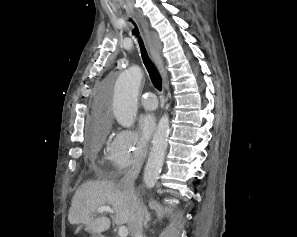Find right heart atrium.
Returning a JSON list of instances; mask_svg holds the SVG:
<instances>
[{
	"instance_id": "d8ad5b80",
	"label": "right heart atrium",
	"mask_w": 297,
	"mask_h": 237,
	"mask_svg": "<svg viewBox=\"0 0 297 237\" xmlns=\"http://www.w3.org/2000/svg\"><path fill=\"white\" fill-rule=\"evenodd\" d=\"M109 129L107 126L106 131ZM147 153L146 141L135 131L118 130L109 147V157L118 171L140 165Z\"/></svg>"
}]
</instances>
